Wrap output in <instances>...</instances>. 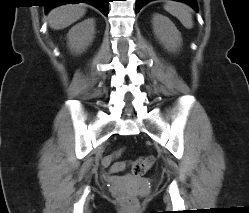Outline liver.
<instances>
[{
  "instance_id": "liver-1",
  "label": "liver",
  "mask_w": 249,
  "mask_h": 213,
  "mask_svg": "<svg viewBox=\"0 0 249 213\" xmlns=\"http://www.w3.org/2000/svg\"><path fill=\"white\" fill-rule=\"evenodd\" d=\"M85 13V5H64L52 9L47 16V20L52 29L60 30L79 20Z\"/></svg>"
}]
</instances>
